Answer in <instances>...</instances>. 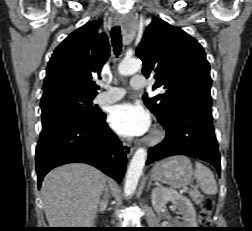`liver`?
<instances>
[{
    "label": "liver",
    "instance_id": "1",
    "mask_svg": "<svg viewBox=\"0 0 252 231\" xmlns=\"http://www.w3.org/2000/svg\"><path fill=\"white\" fill-rule=\"evenodd\" d=\"M106 177L86 164H67L49 172L41 186L50 228L93 225Z\"/></svg>",
    "mask_w": 252,
    "mask_h": 231
}]
</instances>
